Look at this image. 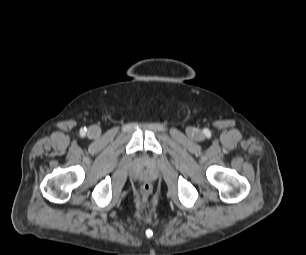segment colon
Here are the masks:
<instances>
[{
  "label": "colon",
  "instance_id": "obj_1",
  "mask_svg": "<svg viewBox=\"0 0 306 255\" xmlns=\"http://www.w3.org/2000/svg\"><path fill=\"white\" fill-rule=\"evenodd\" d=\"M152 192V187L149 183H144L141 187V194L143 197L147 198Z\"/></svg>",
  "mask_w": 306,
  "mask_h": 255
}]
</instances>
